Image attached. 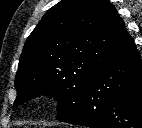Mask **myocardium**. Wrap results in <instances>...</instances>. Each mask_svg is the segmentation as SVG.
Wrapping results in <instances>:
<instances>
[{
    "label": "myocardium",
    "mask_w": 142,
    "mask_h": 128,
    "mask_svg": "<svg viewBox=\"0 0 142 128\" xmlns=\"http://www.w3.org/2000/svg\"><path fill=\"white\" fill-rule=\"evenodd\" d=\"M47 101H48V102L53 101V97H52V96H48V97H47Z\"/></svg>",
    "instance_id": "myocardium-1"
}]
</instances>
